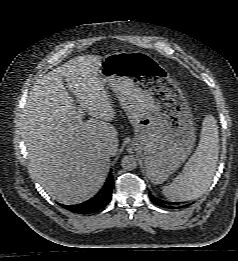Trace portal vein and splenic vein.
Instances as JSON below:
<instances>
[{
  "mask_svg": "<svg viewBox=\"0 0 238 261\" xmlns=\"http://www.w3.org/2000/svg\"><path fill=\"white\" fill-rule=\"evenodd\" d=\"M77 118L79 119L83 118V111L81 109L78 111Z\"/></svg>",
  "mask_w": 238,
  "mask_h": 261,
  "instance_id": "portal-vein-and-splenic-vein-1",
  "label": "portal vein and splenic vein"
}]
</instances>
